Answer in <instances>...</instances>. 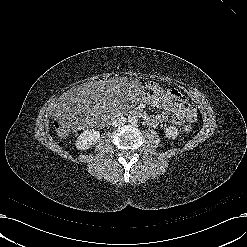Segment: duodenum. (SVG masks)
I'll list each match as a JSON object with an SVG mask.
<instances>
[{"label": "duodenum", "mask_w": 247, "mask_h": 247, "mask_svg": "<svg viewBox=\"0 0 247 247\" xmlns=\"http://www.w3.org/2000/svg\"><path fill=\"white\" fill-rule=\"evenodd\" d=\"M132 115H136L142 119H144L145 121L149 122L151 117L146 114L145 112L141 111V110H134L131 112Z\"/></svg>", "instance_id": "obj_1"}]
</instances>
